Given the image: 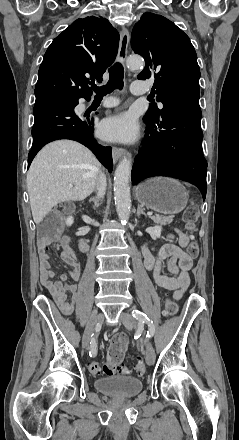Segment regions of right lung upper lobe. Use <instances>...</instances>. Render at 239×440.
<instances>
[{
	"instance_id": "cb5924a9",
	"label": "right lung upper lobe",
	"mask_w": 239,
	"mask_h": 440,
	"mask_svg": "<svg viewBox=\"0 0 239 440\" xmlns=\"http://www.w3.org/2000/svg\"><path fill=\"white\" fill-rule=\"evenodd\" d=\"M119 34L103 17L79 18L48 47L38 72L36 99L90 97L89 78L101 79L118 51Z\"/></svg>"
}]
</instances>
